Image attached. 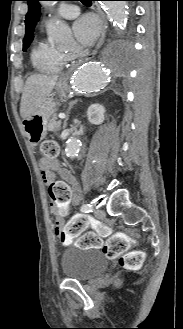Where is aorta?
<instances>
[{
  "label": "aorta",
  "mask_w": 183,
  "mask_h": 329,
  "mask_svg": "<svg viewBox=\"0 0 183 329\" xmlns=\"http://www.w3.org/2000/svg\"><path fill=\"white\" fill-rule=\"evenodd\" d=\"M53 1H46L45 5L53 4ZM108 17L113 21L119 30L126 27L128 2L126 1H104L102 3ZM47 33L59 47L67 48L73 41L72 33L64 22L54 20L47 24ZM112 68L106 60L91 62L78 68L73 75L72 85L81 92L92 93L103 89L106 85L108 73L106 69ZM80 149V141L75 136H70L66 142V155L70 158L77 156Z\"/></svg>",
  "instance_id": "aorta-1"
}]
</instances>
